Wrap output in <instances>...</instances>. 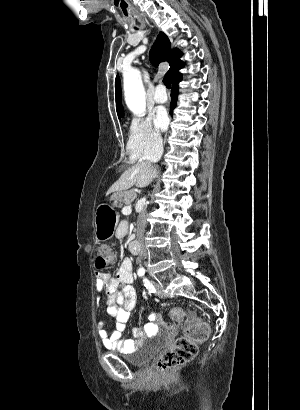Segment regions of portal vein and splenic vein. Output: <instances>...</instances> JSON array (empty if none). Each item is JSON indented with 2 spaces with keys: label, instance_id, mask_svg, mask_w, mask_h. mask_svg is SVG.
Returning <instances> with one entry per match:
<instances>
[{
  "label": "portal vein and splenic vein",
  "instance_id": "obj_1",
  "mask_svg": "<svg viewBox=\"0 0 300 410\" xmlns=\"http://www.w3.org/2000/svg\"><path fill=\"white\" fill-rule=\"evenodd\" d=\"M131 211H132V206L131 205L125 206L122 210L123 213H128V214H130Z\"/></svg>",
  "mask_w": 300,
  "mask_h": 410
}]
</instances>
